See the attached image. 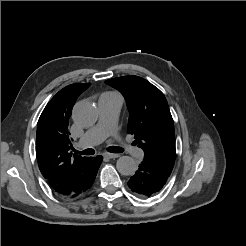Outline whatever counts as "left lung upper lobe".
<instances>
[{
	"mask_svg": "<svg viewBox=\"0 0 246 246\" xmlns=\"http://www.w3.org/2000/svg\"><path fill=\"white\" fill-rule=\"evenodd\" d=\"M122 93L129 110L128 133L150 159L172 171L176 150L173 119L163 93L147 80L130 75L105 81Z\"/></svg>",
	"mask_w": 246,
	"mask_h": 246,
	"instance_id": "left-lung-upper-lobe-1",
	"label": "left lung upper lobe"
}]
</instances>
